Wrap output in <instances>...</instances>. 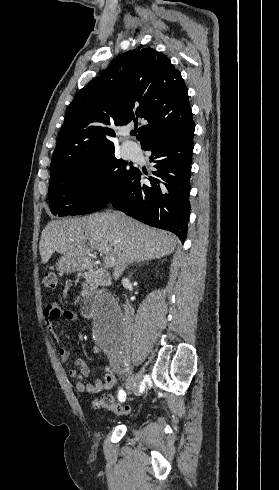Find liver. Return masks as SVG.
Wrapping results in <instances>:
<instances>
[{
	"label": "liver",
	"mask_w": 279,
	"mask_h": 490,
	"mask_svg": "<svg viewBox=\"0 0 279 490\" xmlns=\"http://www.w3.org/2000/svg\"><path fill=\"white\" fill-rule=\"evenodd\" d=\"M121 216L124 218L123 226ZM86 242L99 244L101 252L105 254L111 252L116 262L114 270L117 278L127 268L131 254H134L132 262H146L150 258L156 260L170 256L180 244L177 236L171 232L150 228L118 212H103L85 218L49 222L39 244L42 264H47L54 252L82 262L91 252Z\"/></svg>",
	"instance_id": "liver-1"
}]
</instances>
